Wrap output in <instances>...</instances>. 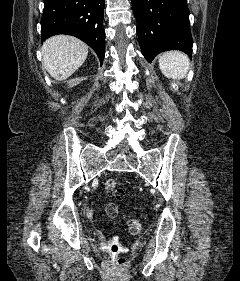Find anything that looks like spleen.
<instances>
[{"label":"spleen","mask_w":240,"mask_h":281,"mask_svg":"<svg viewBox=\"0 0 240 281\" xmlns=\"http://www.w3.org/2000/svg\"><path fill=\"white\" fill-rule=\"evenodd\" d=\"M159 68L167 78L183 79L190 67V62L184 53L180 51H168L159 56Z\"/></svg>","instance_id":"3e777b00"}]
</instances>
